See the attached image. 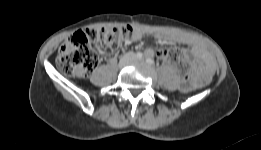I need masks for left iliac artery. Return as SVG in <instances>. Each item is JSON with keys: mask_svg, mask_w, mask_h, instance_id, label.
I'll use <instances>...</instances> for the list:
<instances>
[{"mask_svg": "<svg viewBox=\"0 0 261 150\" xmlns=\"http://www.w3.org/2000/svg\"><path fill=\"white\" fill-rule=\"evenodd\" d=\"M147 63L150 64V65H154V60L151 59V58H147Z\"/></svg>", "mask_w": 261, "mask_h": 150, "instance_id": "44dca946", "label": "left iliac artery"}]
</instances>
